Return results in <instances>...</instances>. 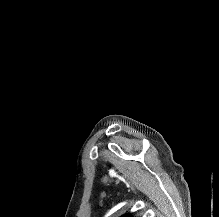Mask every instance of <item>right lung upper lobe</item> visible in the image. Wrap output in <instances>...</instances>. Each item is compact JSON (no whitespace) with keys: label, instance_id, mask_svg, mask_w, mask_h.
<instances>
[{"label":"right lung upper lobe","instance_id":"obj_1","mask_svg":"<svg viewBox=\"0 0 219 217\" xmlns=\"http://www.w3.org/2000/svg\"><path fill=\"white\" fill-rule=\"evenodd\" d=\"M121 217H131L130 215H124V216H121Z\"/></svg>","mask_w":219,"mask_h":217}]
</instances>
